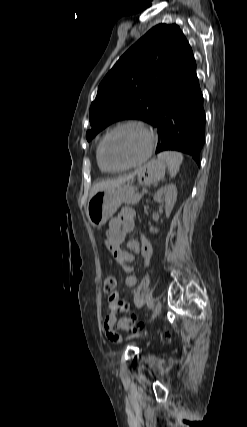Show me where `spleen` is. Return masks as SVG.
<instances>
[{
    "label": "spleen",
    "mask_w": 247,
    "mask_h": 427,
    "mask_svg": "<svg viewBox=\"0 0 247 427\" xmlns=\"http://www.w3.org/2000/svg\"><path fill=\"white\" fill-rule=\"evenodd\" d=\"M157 160L165 162L168 167L170 177L173 178L177 175L180 165L183 161V155L176 151H164L157 156Z\"/></svg>",
    "instance_id": "spleen-1"
}]
</instances>
